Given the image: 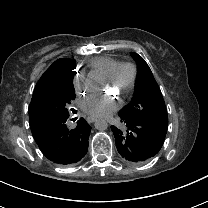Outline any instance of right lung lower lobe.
<instances>
[{"label": "right lung lower lobe", "instance_id": "1", "mask_svg": "<svg viewBox=\"0 0 208 208\" xmlns=\"http://www.w3.org/2000/svg\"><path fill=\"white\" fill-rule=\"evenodd\" d=\"M29 117L33 137L41 152L58 165L79 162L87 153L91 126L81 118L74 129H68V117L40 119Z\"/></svg>", "mask_w": 208, "mask_h": 208}]
</instances>
